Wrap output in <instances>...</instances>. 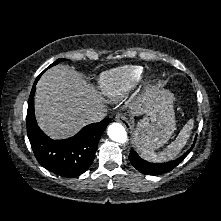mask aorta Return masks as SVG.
Returning <instances> with one entry per match:
<instances>
[{"label": "aorta", "mask_w": 221, "mask_h": 221, "mask_svg": "<svg viewBox=\"0 0 221 221\" xmlns=\"http://www.w3.org/2000/svg\"><path fill=\"white\" fill-rule=\"evenodd\" d=\"M111 140L119 143H125L128 139L125 128L120 123H112L107 129Z\"/></svg>", "instance_id": "1"}]
</instances>
